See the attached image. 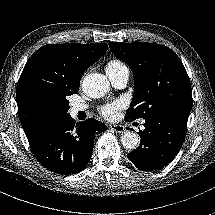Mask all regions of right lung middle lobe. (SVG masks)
I'll return each instance as SVG.
<instances>
[{"label": "right lung middle lobe", "instance_id": "right-lung-middle-lobe-1", "mask_svg": "<svg viewBox=\"0 0 215 215\" xmlns=\"http://www.w3.org/2000/svg\"><path fill=\"white\" fill-rule=\"evenodd\" d=\"M72 94H76V92L64 95L63 97L53 100L49 103V110L55 117L63 119L69 115L67 111L69 110L70 106L67 97Z\"/></svg>", "mask_w": 215, "mask_h": 215}]
</instances>
